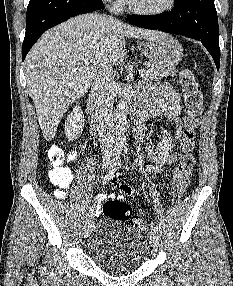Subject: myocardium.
<instances>
[{
    "label": "myocardium",
    "mask_w": 233,
    "mask_h": 286,
    "mask_svg": "<svg viewBox=\"0 0 233 286\" xmlns=\"http://www.w3.org/2000/svg\"><path fill=\"white\" fill-rule=\"evenodd\" d=\"M127 4L133 12L140 14V15H145V16H158L162 15L164 13L169 12L170 10L173 9L175 6V0H167V3L164 7L159 8V9H144L136 6L131 0H126Z\"/></svg>",
    "instance_id": "myocardium-1"
}]
</instances>
